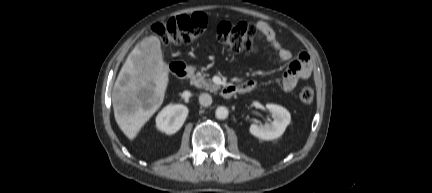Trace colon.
Returning a JSON list of instances; mask_svg holds the SVG:
<instances>
[{"mask_svg":"<svg viewBox=\"0 0 432 193\" xmlns=\"http://www.w3.org/2000/svg\"><path fill=\"white\" fill-rule=\"evenodd\" d=\"M207 22L206 15L200 12L180 15L155 23L151 27V32L166 45L189 44L205 32ZM256 37L255 26L246 22H221L216 30L217 40L230 53L254 51ZM299 99L304 105L311 104L314 99L313 89L309 86L303 87Z\"/></svg>","mask_w":432,"mask_h":193,"instance_id":"5ec220e1","label":"colon"}]
</instances>
